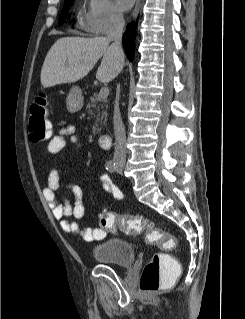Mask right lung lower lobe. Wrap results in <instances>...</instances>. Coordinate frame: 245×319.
I'll use <instances>...</instances> for the list:
<instances>
[{
  "label": "right lung lower lobe",
  "mask_w": 245,
  "mask_h": 319,
  "mask_svg": "<svg viewBox=\"0 0 245 319\" xmlns=\"http://www.w3.org/2000/svg\"><path fill=\"white\" fill-rule=\"evenodd\" d=\"M133 42H134V29L132 27V24H129L127 26L126 32L123 35V46H124V49L126 50L129 60L131 61L134 55Z\"/></svg>",
  "instance_id": "right-lung-lower-lobe-1"
}]
</instances>
